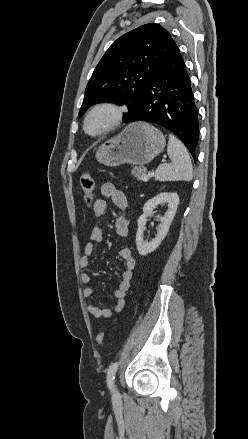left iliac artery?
<instances>
[{
    "label": "left iliac artery",
    "mask_w": 248,
    "mask_h": 439,
    "mask_svg": "<svg viewBox=\"0 0 248 439\" xmlns=\"http://www.w3.org/2000/svg\"><path fill=\"white\" fill-rule=\"evenodd\" d=\"M118 366H119V362H115V363H112L108 369L107 383H108L110 388L113 386L115 374H116V371L118 369Z\"/></svg>",
    "instance_id": "1"
}]
</instances>
